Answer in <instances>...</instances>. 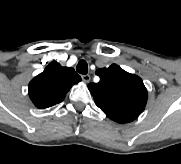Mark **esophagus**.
<instances>
[{"label": "esophagus", "mask_w": 181, "mask_h": 164, "mask_svg": "<svg viewBox=\"0 0 181 164\" xmlns=\"http://www.w3.org/2000/svg\"><path fill=\"white\" fill-rule=\"evenodd\" d=\"M81 77H82L83 81L86 83L89 82L91 79V76L89 74L82 75Z\"/></svg>", "instance_id": "obj_1"}]
</instances>
